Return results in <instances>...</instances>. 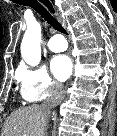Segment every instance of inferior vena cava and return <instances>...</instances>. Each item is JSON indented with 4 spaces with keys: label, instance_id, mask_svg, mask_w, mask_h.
Masks as SVG:
<instances>
[{
    "label": "inferior vena cava",
    "instance_id": "obj_1",
    "mask_svg": "<svg viewBox=\"0 0 117 136\" xmlns=\"http://www.w3.org/2000/svg\"><path fill=\"white\" fill-rule=\"evenodd\" d=\"M65 97V92L63 89V86L59 83H55L52 87L50 95L47 97V99L44 101L42 104V107L46 110L47 114V121L49 122V126L51 127L53 124L52 122L54 121V114H53V109L57 105H59L62 100ZM49 136H54L53 131L51 130Z\"/></svg>",
    "mask_w": 117,
    "mask_h": 136
}]
</instances>
